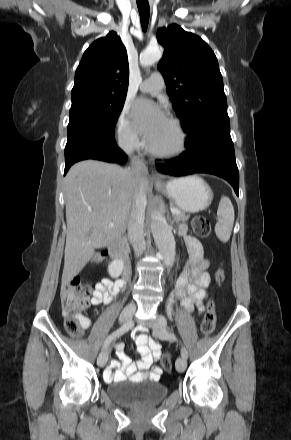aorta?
Here are the masks:
<instances>
[{"label": "aorta", "instance_id": "1", "mask_svg": "<svg viewBox=\"0 0 291 440\" xmlns=\"http://www.w3.org/2000/svg\"><path fill=\"white\" fill-rule=\"evenodd\" d=\"M163 54V50L158 46H149L140 54V65L148 67L157 63ZM151 231L155 244L165 258V263L169 266L174 261L175 240L172 231L165 219L154 215L151 221Z\"/></svg>", "mask_w": 291, "mask_h": 440}]
</instances>
